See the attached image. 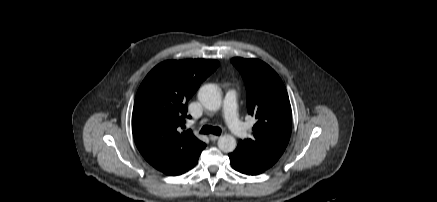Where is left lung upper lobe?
Wrapping results in <instances>:
<instances>
[{"label":"left lung upper lobe","mask_w":437,"mask_h":202,"mask_svg":"<svg viewBox=\"0 0 437 202\" xmlns=\"http://www.w3.org/2000/svg\"><path fill=\"white\" fill-rule=\"evenodd\" d=\"M247 90L248 113L257 119L253 138L238 146L252 157L273 166L286 149L292 129V112L286 88L278 74L258 59L233 58Z\"/></svg>","instance_id":"left-lung-upper-lobe-1"}]
</instances>
